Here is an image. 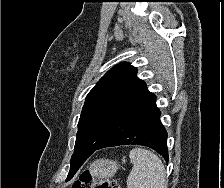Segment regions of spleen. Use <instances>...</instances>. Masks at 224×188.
Here are the masks:
<instances>
[{"label": "spleen", "mask_w": 224, "mask_h": 188, "mask_svg": "<svg viewBox=\"0 0 224 188\" xmlns=\"http://www.w3.org/2000/svg\"><path fill=\"white\" fill-rule=\"evenodd\" d=\"M129 157L133 168L127 178V188H167L164 165L154 153L134 148Z\"/></svg>", "instance_id": "1"}]
</instances>
